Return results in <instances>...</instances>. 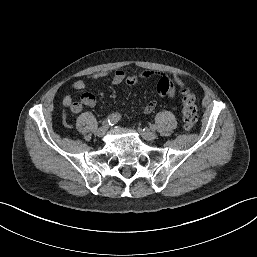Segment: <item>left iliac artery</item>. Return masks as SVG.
Wrapping results in <instances>:
<instances>
[{"mask_svg":"<svg viewBox=\"0 0 257 257\" xmlns=\"http://www.w3.org/2000/svg\"><path fill=\"white\" fill-rule=\"evenodd\" d=\"M150 128H151V129H155L156 127H155L154 125H151Z\"/></svg>","mask_w":257,"mask_h":257,"instance_id":"44dca946","label":"left iliac artery"}]
</instances>
